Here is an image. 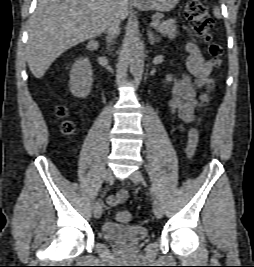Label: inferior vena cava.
<instances>
[{"mask_svg":"<svg viewBox=\"0 0 254 267\" xmlns=\"http://www.w3.org/2000/svg\"><path fill=\"white\" fill-rule=\"evenodd\" d=\"M120 33V19L113 16L107 25V42L110 45Z\"/></svg>","mask_w":254,"mask_h":267,"instance_id":"obj_1","label":"inferior vena cava"}]
</instances>
